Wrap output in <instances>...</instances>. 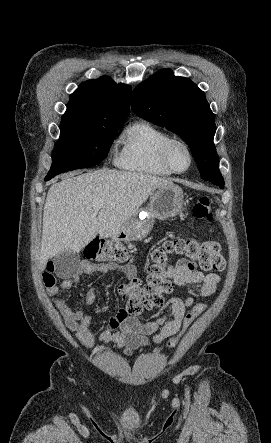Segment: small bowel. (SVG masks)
<instances>
[{"label": "small bowel", "instance_id": "small-bowel-1", "mask_svg": "<svg viewBox=\"0 0 271 443\" xmlns=\"http://www.w3.org/2000/svg\"><path fill=\"white\" fill-rule=\"evenodd\" d=\"M94 272H119L129 281L136 278V268L132 265H119L115 262L100 264L83 261L73 275L62 279L58 284L47 289L50 296H55L60 290H68L79 283L85 275ZM169 277L179 286L199 285L198 291L204 296L212 295L220 282L217 274H204L187 259H180L168 268ZM125 306L110 318L106 329L100 334L99 342L102 345H114L131 353L135 349L145 347L150 343L158 344L165 338L172 336L180 329L186 309L194 303L192 298L185 300L174 297L168 302L167 312L155 320L142 321L131 315ZM96 299L95 289L89 288L82 305L71 307L64 298H53L55 307L63 317L65 326L76 333L78 341L86 348L95 346V339L91 328L92 316L85 312V307L92 305ZM172 318H168V314Z\"/></svg>", "mask_w": 271, "mask_h": 443}]
</instances>
